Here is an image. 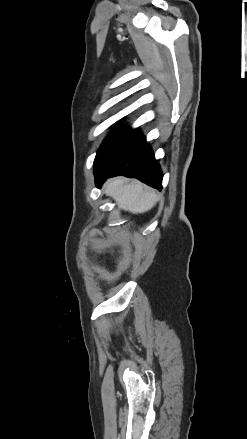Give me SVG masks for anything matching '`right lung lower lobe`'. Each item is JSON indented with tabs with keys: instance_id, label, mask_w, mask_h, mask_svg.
Returning a JSON list of instances; mask_svg holds the SVG:
<instances>
[{
	"instance_id": "obj_1",
	"label": "right lung lower lobe",
	"mask_w": 247,
	"mask_h": 439,
	"mask_svg": "<svg viewBox=\"0 0 247 439\" xmlns=\"http://www.w3.org/2000/svg\"><path fill=\"white\" fill-rule=\"evenodd\" d=\"M97 185L108 177L124 175L161 190L162 172L145 137L138 133L128 143L111 153L98 167H94Z\"/></svg>"
}]
</instances>
